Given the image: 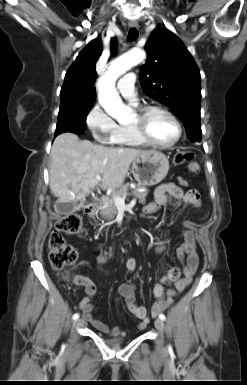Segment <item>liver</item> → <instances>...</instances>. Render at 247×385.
<instances>
[{"mask_svg":"<svg viewBox=\"0 0 247 385\" xmlns=\"http://www.w3.org/2000/svg\"><path fill=\"white\" fill-rule=\"evenodd\" d=\"M144 152L106 147L64 132L56 137L51 150V193L62 203L84 202L98 182L102 190L119 188L134 158ZM97 175L103 176L101 181L95 179Z\"/></svg>","mask_w":247,"mask_h":385,"instance_id":"1","label":"liver"}]
</instances>
